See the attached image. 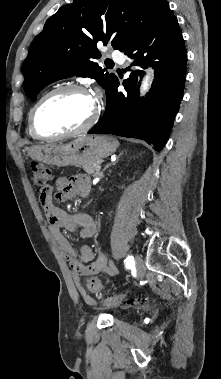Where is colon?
Segmentation results:
<instances>
[{"instance_id": "colon-1", "label": "colon", "mask_w": 221, "mask_h": 379, "mask_svg": "<svg viewBox=\"0 0 221 379\" xmlns=\"http://www.w3.org/2000/svg\"><path fill=\"white\" fill-rule=\"evenodd\" d=\"M51 170L42 163L32 164V179L34 184L39 188V197L44 198L50 192V182L52 180ZM89 291L99 298L106 296V289L101 281L96 277H90L86 280Z\"/></svg>"}]
</instances>
